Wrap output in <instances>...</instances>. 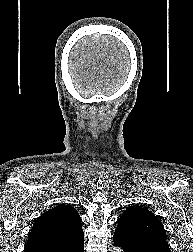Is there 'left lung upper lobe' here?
Listing matches in <instances>:
<instances>
[{
  "label": "left lung upper lobe",
  "mask_w": 193,
  "mask_h": 252,
  "mask_svg": "<svg viewBox=\"0 0 193 252\" xmlns=\"http://www.w3.org/2000/svg\"><path fill=\"white\" fill-rule=\"evenodd\" d=\"M115 232L129 239L158 238L167 240L161 221L142 206H131L118 219Z\"/></svg>",
  "instance_id": "obj_1"
}]
</instances>
